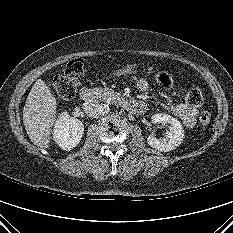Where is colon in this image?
<instances>
[{"instance_id": "5ec220e1", "label": "colon", "mask_w": 233, "mask_h": 233, "mask_svg": "<svg viewBox=\"0 0 233 233\" xmlns=\"http://www.w3.org/2000/svg\"><path fill=\"white\" fill-rule=\"evenodd\" d=\"M84 74V63L81 59L69 61L62 74H59L51 81V87L59 97L65 100L72 99L79 87L80 78ZM185 101L191 107L197 108L203 104L204 97L198 88L190 89L185 97ZM202 125H208L211 122V114L202 111L199 116Z\"/></svg>"}]
</instances>
